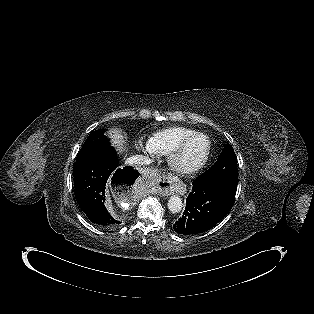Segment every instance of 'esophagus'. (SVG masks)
I'll list each match as a JSON object with an SVG mask.
<instances>
[{
    "mask_svg": "<svg viewBox=\"0 0 314 314\" xmlns=\"http://www.w3.org/2000/svg\"><path fill=\"white\" fill-rule=\"evenodd\" d=\"M152 175L155 177V180H157L158 183H166V186H163L162 188L160 186L157 190L156 193H158L159 195L168 196L174 192L180 195L185 194L186 189L184 185L176 177L167 175L158 176L160 174L157 171H154Z\"/></svg>",
    "mask_w": 314,
    "mask_h": 314,
    "instance_id": "34e87169",
    "label": "esophagus"
}]
</instances>
